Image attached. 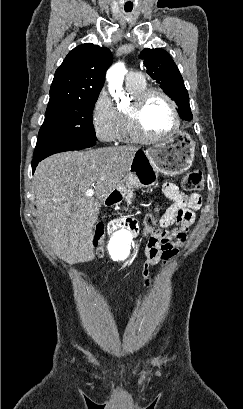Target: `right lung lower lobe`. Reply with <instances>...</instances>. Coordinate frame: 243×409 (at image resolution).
Returning <instances> with one entry per match:
<instances>
[{
	"label": "right lung lower lobe",
	"instance_id": "1",
	"mask_svg": "<svg viewBox=\"0 0 243 409\" xmlns=\"http://www.w3.org/2000/svg\"><path fill=\"white\" fill-rule=\"evenodd\" d=\"M96 144L95 139L77 138L73 140L38 139L32 160V172L34 173L38 163L44 158L59 152L81 150Z\"/></svg>",
	"mask_w": 243,
	"mask_h": 409
}]
</instances>
